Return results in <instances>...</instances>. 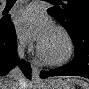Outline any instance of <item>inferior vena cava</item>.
I'll list each match as a JSON object with an SVG mask.
<instances>
[{
    "label": "inferior vena cava",
    "mask_w": 89,
    "mask_h": 89,
    "mask_svg": "<svg viewBox=\"0 0 89 89\" xmlns=\"http://www.w3.org/2000/svg\"><path fill=\"white\" fill-rule=\"evenodd\" d=\"M24 47H25V43H24V41H21L20 45L18 47L19 58H22L24 55ZM10 76L13 77L14 79L21 78V71L18 68V66H16L14 69L11 70ZM18 89H22V87H18Z\"/></svg>",
    "instance_id": "obj_1"
}]
</instances>
